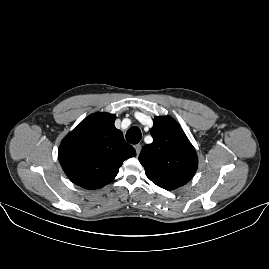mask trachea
<instances>
[{"label":"trachea","mask_w":269,"mask_h":269,"mask_svg":"<svg viewBox=\"0 0 269 269\" xmlns=\"http://www.w3.org/2000/svg\"><path fill=\"white\" fill-rule=\"evenodd\" d=\"M142 134L138 127H131L126 133V139L131 144H137L141 140Z\"/></svg>","instance_id":"trachea-1"}]
</instances>
